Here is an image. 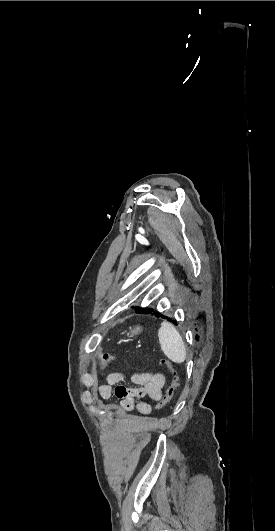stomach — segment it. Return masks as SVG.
Segmentation results:
<instances>
[{
    "label": "stomach",
    "mask_w": 275,
    "mask_h": 531,
    "mask_svg": "<svg viewBox=\"0 0 275 531\" xmlns=\"http://www.w3.org/2000/svg\"><path fill=\"white\" fill-rule=\"evenodd\" d=\"M131 329V327H130ZM142 331V327H135V329H131L130 333L133 337V335H139V333H141Z\"/></svg>",
    "instance_id": "1"
}]
</instances>
